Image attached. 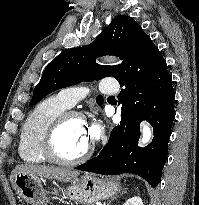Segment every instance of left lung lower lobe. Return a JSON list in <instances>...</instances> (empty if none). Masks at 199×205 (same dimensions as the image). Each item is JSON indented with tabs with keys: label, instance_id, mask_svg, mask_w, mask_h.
Here are the masks:
<instances>
[{
	"label": "left lung lower lobe",
	"instance_id": "left-lung-lower-lobe-1",
	"mask_svg": "<svg viewBox=\"0 0 199 205\" xmlns=\"http://www.w3.org/2000/svg\"><path fill=\"white\" fill-rule=\"evenodd\" d=\"M116 79L124 87L118 95L121 123L113 128L99 155L76 169L98 174L132 173L156 187L167 159L175 93L165 59L144 31ZM141 120H147L154 130L152 142L144 148L137 147Z\"/></svg>",
	"mask_w": 199,
	"mask_h": 205
}]
</instances>
